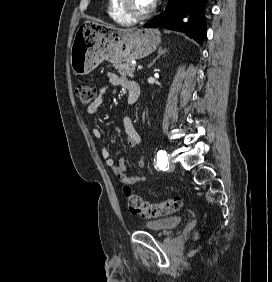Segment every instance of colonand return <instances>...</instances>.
<instances>
[{"instance_id": "colon-1", "label": "colon", "mask_w": 272, "mask_h": 282, "mask_svg": "<svg viewBox=\"0 0 272 282\" xmlns=\"http://www.w3.org/2000/svg\"><path fill=\"white\" fill-rule=\"evenodd\" d=\"M97 87L87 83H80L76 88V95L82 105H91L96 97ZM129 211L132 214L143 218H158L171 215L182 207V199L174 197L158 203H151L143 200L133 193L128 185L122 188Z\"/></svg>"}]
</instances>
